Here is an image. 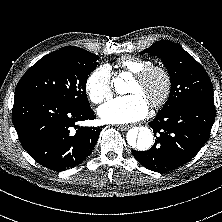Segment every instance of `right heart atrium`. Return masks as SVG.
Masks as SVG:
<instances>
[{
    "label": "right heart atrium",
    "mask_w": 222,
    "mask_h": 222,
    "mask_svg": "<svg viewBox=\"0 0 222 222\" xmlns=\"http://www.w3.org/2000/svg\"><path fill=\"white\" fill-rule=\"evenodd\" d=\"M85 89L94 104H101L113 94L112 77L108 66L97 67L87 78Z\"/></svg>",
    "instance_id": "right-heart-atrium-1"
}]
</instances>
